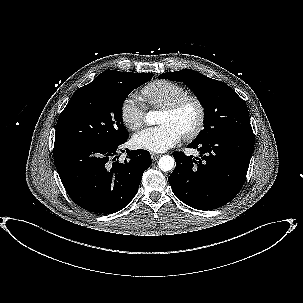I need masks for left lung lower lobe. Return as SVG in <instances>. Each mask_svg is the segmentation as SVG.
Wrapping results in <instances>:
<instances>
[{"instance_id": "obj_1", "label": "left lung lower lobe", "mask_w": 303, "mask_h": 303, "mask_svg": "<svg viewBox=\"0 0 303 303\" xmlns=\"http://www.w3.org/2000/svg\"><path fill=\"white\" fill-rule=\"evenodd\" d=\"M200 158L174 152L176 167L168 181L174 194L198 210L230 202L241 190L254 149V134H230L192 142Z\"/></svg>"}]
</instances>
